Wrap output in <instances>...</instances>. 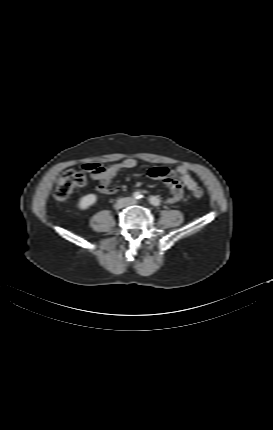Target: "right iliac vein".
I'll list each match as a JSON object with an SVG mask.
<instances>
[{
  "label": "right iliac vein",
  "mask_w": 273,
  "mask_h": 430,
  "mask_svg": "<svg viewBox=\"0 0 273 430\" xmlns=\"http://www.w3.org/2000/svg\"><path fill=\"white\" fill-rule=\"evenodd\" d=\"M127 203H128V199L121 198L115 203L114 208L117 210L121 209V208L125 207L127 205Z\"/></svg>",
  "instance_id": "obj_1"
}]
</instances>
